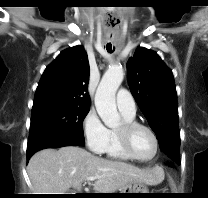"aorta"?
<instances>
[{"label": "aorta", "mask_w": 208, "mask_h": 198, "mask_svg": "<svg viewBox=\"0 0 208 198\" xmlns=\"http://www.w3.org/2000/svg\"><path fill=\"white\" fill-rule=\"evenodd\" d=\"M124 78L123 69L111 67L103 75L95 94V107L103 123L109 128L120 124L115 95Z\"/></svg>", "instance_id": "obj_1"}]
</instances>
